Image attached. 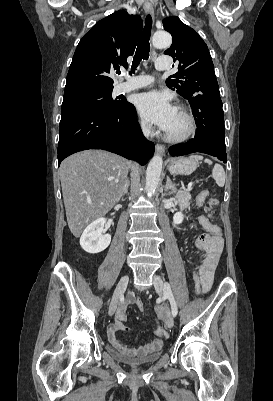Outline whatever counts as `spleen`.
Wrapping results in <instances>:
<instances>
[{
	"mask_svg": "<svg viewBox=\"0 0 273 401\" xmlns=\"http://www.w3.org/2000/svg\"><path fill=\"white\" fill-rule=\"evenodd\" d=\"M190 158H194V160H202L203 156L201 154H192ZM204 162H208V164H212V160L209 158H205ZM212 176L215 178L218 186H224L225 184V170L221 164H214L212 168Z\"/></svg>",
	"mask_w": 273,
	"mask_h": 401,
	"instance_id": "3e777b00",
	"label": "spleen"
}]
</instances>
